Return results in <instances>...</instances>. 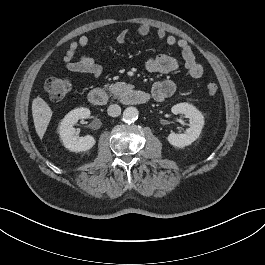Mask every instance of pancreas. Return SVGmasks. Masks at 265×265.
<instances>
[{"instance_id": "pancreas-1", "label": "pancreas", "mask_w": 265, "mask_h": 265, "mask_svg": "<svg viewBox=\"0 0 265 265\" xmlns=\"http://www.w3.org/2000/svg\"><path fill=\"white\" fill-rule=\"evenodd\" d=\"M105 87L108 88V90L113 93L115 97L121 95L126 90V85L121 82H117L112 85H106Z\"/></svg>"}]
</instances>
